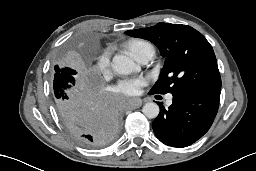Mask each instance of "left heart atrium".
I'll return each mask as SVG.
<instances>
[{"label":"left heart atrium","instance_id":"obj_1","mask_svg":"<svg viewBox=\"0 0 256 171\" xmlns=\"http://www.w3.org/2000/svg\"><path fill=\"white\" fill-rule=\"evenodd\" d=\"M146 84L143 78L125 79L118 83L115 91L125 96H137L141 92V88Z\"/></svg>","mask_w":256,"mask_h":171}]
</instances>
